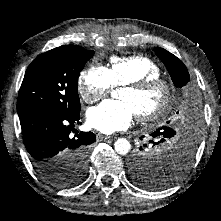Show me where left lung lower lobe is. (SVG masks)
I'll return each mask as SVG.
<instances>
[{"instance_id":"left-lung-lower-lobe-1","label":"left lung lower lobe","mask_w":221,"mask_h":221,"mask_svg":"<svg viewBox=\"0 0 221 221\" xmlns=\"http://www.w3.org/2000/svg\"><path fill=\"white\" fill-rule=\"evenodd\" d=\"M199 129H200V123L198 119L197 120L193 119L189 124L190 133L197 134L199 132ZM158 132L161 137H167V138H171L176 134V132L172 128L166 126L162 127V130ZM182 152L184 153V157L186 158V160H190V158L194 153V144L192 143L187 144Z\"/></svg>"}]
</instances>
